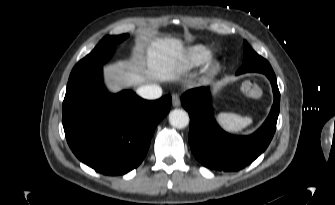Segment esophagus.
<instances>
[{"instance_id":"esophagus-1","label":"esophagus","mask_w":335,"mask_h":205,"mask_svg":"<svg viewBox=\"0 0 335 205\" xmlns=\"http://www.w3.org/2000/svg\"><path fill=\"white\" fill-rule=\"evenodd\" d=\"M180 104H181V102H180L179 96L178 95H173L172 96V105L174 107H178V106H180Z\"/></svg>"}]
</instances>
